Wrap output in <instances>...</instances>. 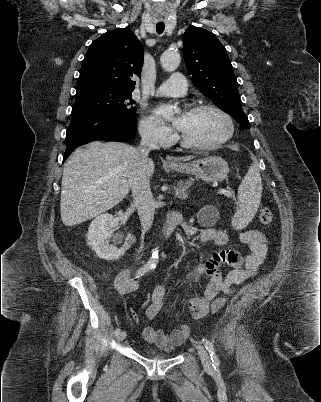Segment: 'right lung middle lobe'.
<instances>
[{
	"label": "right lung middle lobe",
	"instance_id": "1",
	"mask_svg": "<svg viewBox=\"0 0 321 402\" xmlns=\"http://www.w3.org/2000/svg\"><path fill=\"white\" fill-rule=\"evenodd\" d=\"M132 93L102 85H78L72 116L94 114L111 117H134Z\"/></svg>",
	"mask_w": 321,
	"mask_h": 402
}]
</instances>
